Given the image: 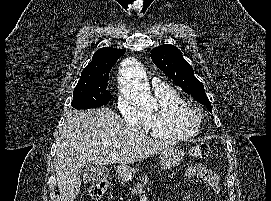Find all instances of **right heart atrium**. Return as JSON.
Listing matches in <instances>:
<instances>
[{
	"label": "right heart atrium",
	"mask_w": 271,
	"mask_h": 201,
	"mask_svg": "<svg viewBox=\"0 0 271 201\" xmlns=\"http://www.w3.org/2000/svg\"><path fill=\"white\" fill-rule=\"evenodd\" d=\"M117 108L129 123L139 127L144 126L145 113L137 109L127 96L122 94L118 96Z\"/></svg>",
	"instance_id": "d8ad5b80"
}]
</instances>
